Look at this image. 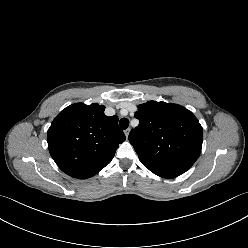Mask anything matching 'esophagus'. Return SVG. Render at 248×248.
<instances>
[{
  "instance_id": "esophagus-1",
  "label": "esophagus",
  "mask_w": 248,
  "mask_h": 248,
  "mask_svg": "<svg viewBox=\"0 0 248 248\" xmlns=\"http://www.w3.org/2000/svg\"><path fill=\"white\" fill-rule=\"evenodd\" d=\"M129 133H130V128H128V129H126V130L124 131V134H125L126 137H128Z\"/></svg>"
}]
</instances>
